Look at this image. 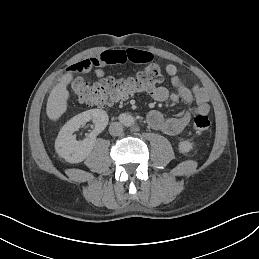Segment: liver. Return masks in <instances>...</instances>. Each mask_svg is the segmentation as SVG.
<instances>
[{"instance_id":"obj_1","label":"liver","mask_w":259,"mask_h":259,"mask_svg":"<svg viewBox=\"0 0 259 259\" xmlns=\"http://www.w3.org/2000/svg\"><path fill=\"white\" fill-rule=\"evenodd\" d=\"M77 73L78 70L76 69L64 72L59 82L50 91L45 109L46 116L50 122H59L60 118L67 112L68 100L71 98L68 86L72 83Z\"/></svg>"}]
</instances>
